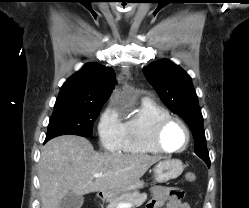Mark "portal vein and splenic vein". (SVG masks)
Returning <instances> with one entry per match:
<instances>
[{
  "mask_svg": "<svg viewBox=\"0 0 249 208\" xmlns=\"http://www.w3.org/2000/svg\"><path fill=\"white\" fill-rule=\"evenodd\" d=\"M93 176L95 178H99V177H103V176H106V175L96 173ZM118 208H131V205L130 204H119Z\"/></svg>",
  "mask_w": 249,
  "mask_h": 208,
  "instance_id": "1",
  "label": "portal vein and splenic vein"
}]
</instances>
